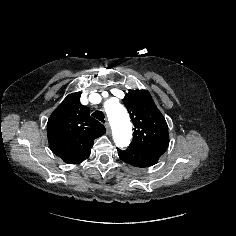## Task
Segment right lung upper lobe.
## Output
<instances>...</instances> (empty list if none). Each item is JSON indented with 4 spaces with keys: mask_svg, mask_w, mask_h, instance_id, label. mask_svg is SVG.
I'll return each mask as SVG.
<instances>
[{
    "mask_svg": "<svg viewBox=\"0 0 236 236\" xmlns=\"http://www.w3.org/2000/svg\"><path fill=\"white\" fill-rule=\"evenodd\" d=\"M80 92L68 95L53 111L47 123L50 149L68 164H78L90 155L94 139L106 133L80 103Z\"/></svg>",
    "mask_w": 236,
    "mask_h": 236,
    "instance_id": "cb5924a9",
    "label": "right lung upper lobe"
}]
</instances>
